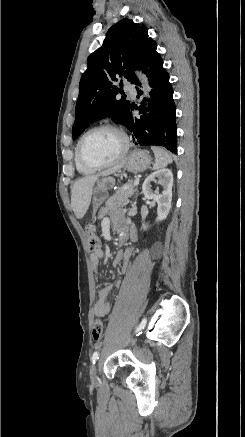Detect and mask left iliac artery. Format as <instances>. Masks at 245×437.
Returning <instances> with one entry per match:
<instances>
[{
    "instance_id": "obj_1",
    "label": "left iliac artery",
    "mask_w": 245,
    "mask_h": 437,
    "mask_svg": "<svg viewBox=\"0 0 245 437\" xmlns=\"http://www.w3.org/2000/svg\"><path fill=\"white\" fill-rule=\"evenodd\" d=\"M145 325H146V319L144 318V319L141 321L140 325L137 327V329H136L135 332H139L140 330H142V329L145 327ZM97 359H99V352H98V351H95V352L93 353V355H92V362H93V364H95V362H96Z\"/></svg>"
}]
</instances>
